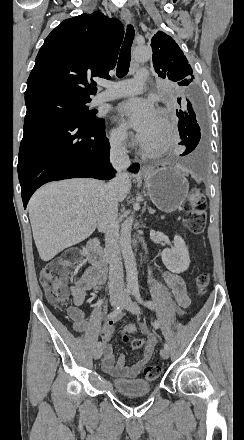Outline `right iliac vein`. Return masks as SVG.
I'll list each match as a JSON object with an SVG mask.
<instances>
[{"label":"right iliac vein","mask_w":244,"mask_h":440,"mask_svg":"<svg viewBox=\"0 0 244 440\" xmlns=\"http://www.w3.org/2000/svg\"><path fill=\"white\" fill-rule=\"evenodd\" d=\"M110 303L113 307H116V306L122 304V299L120 297H117L116 295H111L110 296ZM102 354H103V349L97 348L93 353V357L95 360H98L101 358Z\"/></svg>","instance_id":"right-iliac-vein-1"}]
</instances>
